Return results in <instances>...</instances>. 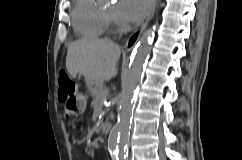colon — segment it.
Listing matches in <instances>:
<instances>
[{"mask_svg": "<svg viewBox=\"0 0 242 160\" xmlns=\"http://www.w3.org/2000/svg\"><path fill=\"white\" fill-rule=\"evenodd\" d=\"M58 83V98L64 104L65 114H76L82 103L83 96L76 93L75 83L69 78L66 72L60 71L58 73Z\"/></svg>", "mask_w": 242, "mask_h": 160, "instance_id": "1", "label": "colon"}]
</instances>
